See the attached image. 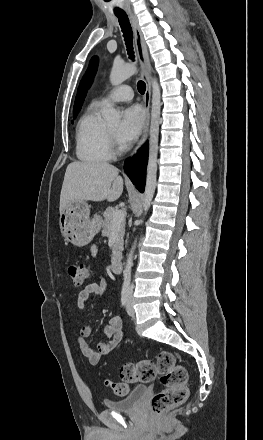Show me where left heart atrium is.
<instances>
[{
  "label": "left heart atrium",
  "mask_w": 263,
  "mask_h": 440,
  "mask_svg": "<svg viewBox=\"0 0 263 440\" xmlns=\"http://www.w3.org/2000/svg\"><path fill=\"white\" fill-rule=\"evenodd\" d=\"M145 122V114L140 106L133 105L123 111L122 120L117 130L121 143L129 144L140 135Z\"/></svg>",
  "instance_id": "1"
}]
</instances>
